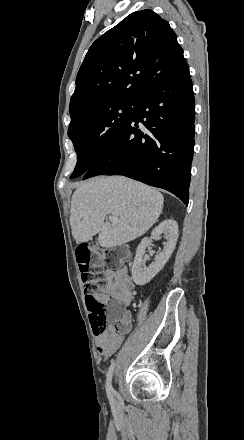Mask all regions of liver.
Segmentation results:
<instances>
[{"label": "liver", "mask_w": 244, "mask_h": 440, "mask_svg": "<svg viewBox=\"0 0 244 440\" xmlns=\"http://www.w3.org/2000/svg\"><path fill=\"white\" fill-rule=\"evenodd\" d=\"M158 190L124 176L90 178L75 190L71 200L70 226L76 242H89L99 234L102 248L122 246L150 230L163 210ZM106 214L119 224L104 222Z\"/></svg>", "instance_id": "1"}]
</instances>
